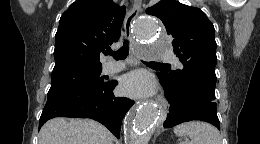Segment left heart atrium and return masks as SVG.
<instances>
[{"instance_id":"1","label":"left heart atrium","mask_w":260,"mask_h":144,"mask_svg":"<svg viewBox=\"0 0 260 144\" xmlns=\"http://www.w3.org/2000/svg\"><path fill=\"white\" fill-rule=\"evenodd\" d=\"M120 90L130 97H147L153 93L154 83L147 73L134 71L123 76Z\"/></svg>"}]
</instances>
